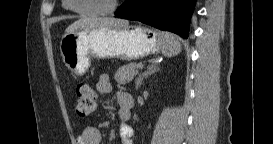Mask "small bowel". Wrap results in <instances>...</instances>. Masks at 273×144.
Listing matches in <instances>:
<instances>
[{"mask_svg":"<svg viewBox=\"0 0 273 144\" xmlns=\"http://www.w3.org/2000/svg\"><path fill=\"white\" fill-rule=\"evenodd\" d=\"M97 89L100 93H109L111 91V81L108 74H101L97 81ZM124 93H119L116 96L119 104V116L122 120L120 128V138L123 144H132L133 129L126 122V110L121 106L120 100L124 96ZM101 133L95 127H86L82 133L75 139V144H100Z\"/></svg>","mask_w":273,"mask_h":144,"instance_id":"small-bowel-1","label":"small bowel"}]
</instances>
